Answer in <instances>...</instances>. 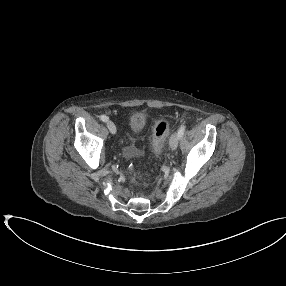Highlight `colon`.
I'll return each mask as SVG.
<instances>
[{
    "mask_svg": "<svg viewBox=\"0 0 286 286\" xmlns=\"http://www.w3.org/2000/svg\"><path fill=\"white\" fill-rule=\"evenodd\" d=\"M170 123L166 119L159 120L155 126L153 131V151L156 156H159L164 148V144L169 132ZM125 155L129 158L135 156L136 148L128 147L124 151ZM128 171L131 174H134V167L132 165L128 166Z\"/></svg>",
    "mask_w": 286,
    "mask_h": 286,
    "instance_id": "1",
    "label": "colon"
}]
</instances>
